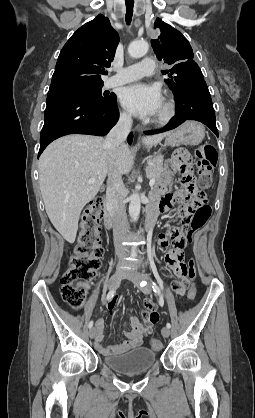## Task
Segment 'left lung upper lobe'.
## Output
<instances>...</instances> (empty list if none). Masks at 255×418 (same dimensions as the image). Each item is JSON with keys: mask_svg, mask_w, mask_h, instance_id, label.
Wrapping results in <instances>:
<instances>
[{"mask_svg": "<svg viewBox=\"0 0 255 418\" xmlns=\"http://www.w3.org/2000/svg\"><path fill=\"white\" fill-rule=\"evenodd\" d=\"M154 25L160 28L161 34L158 39L151 40V45L158 60L171 65L170 69L161 71L167 76L165 82L171 90L175 93L187 83L202 78L203 74L193 60L191 45L182 33L159 18Z\"/></svg>", "mask_w": 255, "mask_h": 418, "instance_id": "5c2ea615", "label": "left lung upper lobe"}]
</instances>
